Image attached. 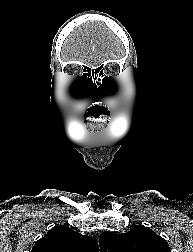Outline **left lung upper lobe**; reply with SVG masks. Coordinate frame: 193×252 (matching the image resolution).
Segmentation results:
<instances>
[{"label": "left lung upper lobe", "mask_w": 193, "mask_h": 252, "mask_svg": "<svg viewBox=\"0 0 193 252\" xmlns=\"http://www.w3.org/2000/svg\"><path fill=\"white\" fill-rule=\"evenodd\" d=\"M100 249L101 252H171L166 240L143 226L124 234L105 231L100 236Z\"/></svg>", "instance_id": "1"}]
</instances>
